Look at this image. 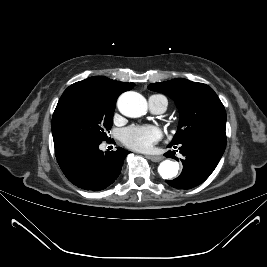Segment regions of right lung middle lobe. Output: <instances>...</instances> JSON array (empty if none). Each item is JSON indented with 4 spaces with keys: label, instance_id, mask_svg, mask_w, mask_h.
<instances>
[{
    "label": "right lung middle lobe",
    "instance_id": "obj_1",
    "mask_svg": "<svg viewBox=\"0 0 267 267\" xmlns=\"http://www.w3.org/2000/svg\"><path fill=\"white\" fill-rule=\"evenodd\" d=\"M116 101L96 87L73 84L62 94L52 118L55 149L101 143L112 127Z\"/></svg>",
    "mask_w": 267,
    "mask_h": 267
}]
</instances>
